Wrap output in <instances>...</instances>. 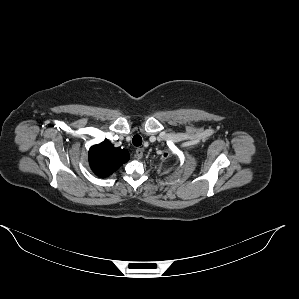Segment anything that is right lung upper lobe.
<instances>
[{
    "label": "right lung upper lobe",
    "instance_id": "obj_1",
    "mask_svg": "<svg viewBox=\"0 0 299 299\" xmlns=\"http://www.w3.org/2000/svg\"><path fill=\"white\" fill-rule=\"evenodd\" d=\"M129 157L125 149L115 148L109 142L94 145L89 150L90 167L99 177L109 176L127 162Z\"/></svg>",
    "mask_w": 299,
    "mask_h": 299
}]
</instances>
